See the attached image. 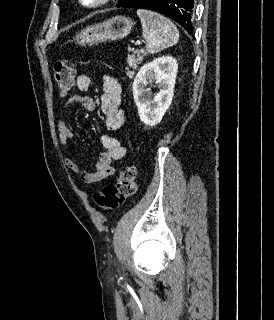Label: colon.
I'll use <instances>...</instances> for the list:
<instances>
[{"label":"colon","mask_w":274,"mask_h":320,"mask_svg":"<svg viewBox=\"0 0 274 320\" xmlns=\"http://www.w3.org/2000/svg\"><path fill=\"white\" fill-rule=\"evenodd\" d=\"M53 77L62 98L70 93L75 80V69L69 60L60 58L53 65ZM135 172L131 166L124 167L115 184L104 187L94 194L95 203L104 210L116 209L134 195Z\"/></svg>","instance_id":"colon-1"}]
</instances>
